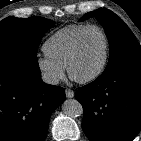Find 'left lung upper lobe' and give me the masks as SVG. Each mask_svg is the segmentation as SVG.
Returning <instances> with one entry per match:
<instances>
[{
    "label": "left lung upper lobe",
    "mask_w": 141,
    "mask_h": 141,
    "mask_svg": "<svg viewBox=\"0 0 141 141\" xmlns=\"http://www.w3.org/2000/svg\"><path fill=\"white\" fill-rule=\"evenodd\" d=\"M95 17L104 27L110 45L108 71L123 63L141 62V48L129 27L115 13L108 9L85 14L80 21Z\"/></svg>",
    "instance_id": "left-lung-upper-lobe-1"
}]
</instances>
